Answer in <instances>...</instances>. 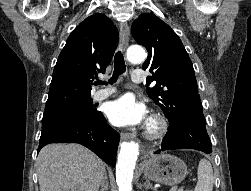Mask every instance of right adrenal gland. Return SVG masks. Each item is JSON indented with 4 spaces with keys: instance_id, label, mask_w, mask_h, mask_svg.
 Returning <instances> with one entry per match:
<instances>
[{
    "instance_id": "2a0ac1e0",
    "label": "right adrenal gland",
    "mask_w": 251,
    "mask_h": 191,
    "mask_svg": "<svg viewBox=\"0 0 251 191\" xmlns=\"http://www.w3.org/2000/svg\"><path fill=\"white\" fill-rule=\"evenodd\" d=\"M108 185H109V183H108V177H107V173L105 171L104 177H102L100 191H106V189H108Z\"/></svg>"
}]
</instances>
